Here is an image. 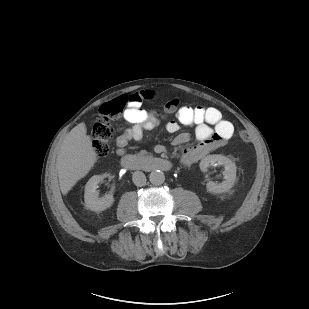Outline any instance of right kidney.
<instances>
[{
  "instance_id": "obj_1",
  "label": "right kidney",
  "mask_w": 309,
  "mask_h": 309,
  "mask_svg": "<svg viewBox=\"0 0 309 309\" xmlns=\"http://www.w3.org/2000/svg\"><path fill=\"white\" fill-rule=\"evenodd\" d=\"M107 175H94L92 176L85 186V206L92 211H104L111 207L114 202L112 193L106 194L104 197L99 198V193L96 188L99 182H101Z\"/></svg>"
}]
</instances>
